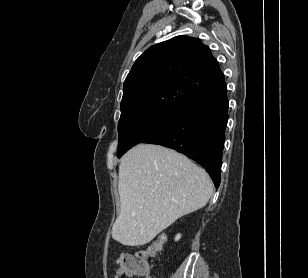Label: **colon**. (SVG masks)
<instances>
[{
	"label": "colon",
	"mask_w": 308,
	"mask_h": 278,
	"mask_svg": "<svg viewBox=\"0 0 308 278\" xmlns=\"http://www.w3.org/2000/svg\"><path fill=\"white\" fill-rule=\"evenodd\" d=\"M165 242V236L159 235L146 249L138 251L135 255L121 253L116 259L117 272L128 278H147L149 275L148 259L155 256Z\"/></svg>",
	"instance_id": "1"
}]
</instances>
